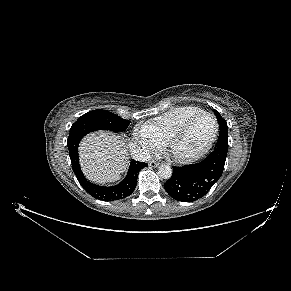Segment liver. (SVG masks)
I'll return each instance as SVG.
<instances>
[{
    "label": "liver",
    "instance_id": "6515ba94",
    "mask_svg": "<svg viewBox=\"0 0 291 291\" xmlns=\"http://www.w3.org/2000/svg\"><path fill=\"white\" fill-rule=\"evenodd\" d=\"M83 172L93 182H112L125 170L127 152L122 137L100 131L85 137L79 147Z\"/></svg>",
    "mask_w": 291,
    "mask_h": 291
}]
</instances>
